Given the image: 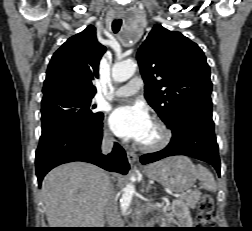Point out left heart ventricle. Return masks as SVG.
<instances>
[{"mask_svg": "<svg viewBox=\"0 0 252 231\" xmlns=\"http://www.w3.org/2000/svg\"><path fill=\"white\" fill-rule=\"evenodd\" d=\"M159 139H160V131L154 124H152L150 130L148 131V133L146 134L141 143L153 144L156 143Z\"/></svg>", "mask_w": 252, "mask_h": 231, "instance_id": "left-heart-ventricle-1", "label": "left heart ventricle"}]
</instances>
